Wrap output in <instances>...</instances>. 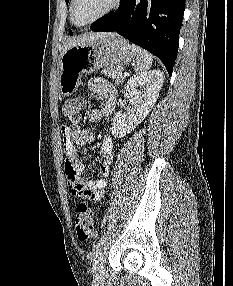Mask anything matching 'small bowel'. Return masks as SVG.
Here are the masks:
<instances>
[{
	"label": "small bowel",
	"mask_w": 233,
	"mask_h": 286,
	"mask_svg": "<svg viewBox=\"0 0 233 286\" xmlns=\"http://www.w3.org/2000/svg\"><path fill=\"white\" fill-rule=\"evenodd\" d=\"M88 90L102 99L101 106L90 111L89 121L95 123L104 117L111 116L115 110L116 89L109 82L101 78H94L90 80ZM62 138L63 150L66 156L64 168L70 192L82 199H100L107 185V177L114 156L111 138L105 136L102 141L99 150L100 167L97 176L93 179H87L82 176L86 165L80 159L77 150L78 146L89 144L94 140L93 131L80 126H63Z\"/></svg>",
	"instance_id": "small-bowel-1"
}]
</instances>
